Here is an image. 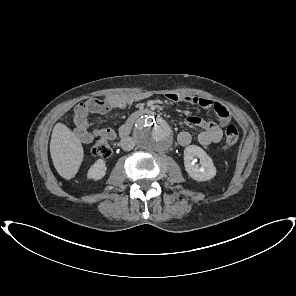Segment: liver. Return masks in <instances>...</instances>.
<instances>
[{
    "mask_svg": "<svg viewBox=\"0 0 296 296\" xmlns=\"http://www.w3.org/2000/svg\"><path fill=\"white\" fill-rule=\"evenodd\" d=\"M50 153L55 169L67 180L77 174L84 157L80 139L62 123L53 128Z\"/></svg>",
    "mask_w": 296,
    "mask_h": 296,
    "instance_id": "obj_1",
    "label": "liver"
}]
</instances>
